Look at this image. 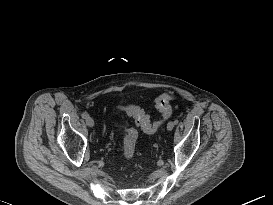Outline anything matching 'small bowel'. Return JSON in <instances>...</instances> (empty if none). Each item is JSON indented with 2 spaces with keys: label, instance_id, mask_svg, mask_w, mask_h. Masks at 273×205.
<instances>
[{
  "label": "small bowel",
  "instance_id": "1",
  "mask_svg": "<svg viewBox=\"0 0 273 205\" xmlns=\"http://www.w3.org/2000/svg\"><path fill=\"white\" fill-rule=\"evenodd\" d=\"M122 109H124L125 111H127L129 113V108L130 107H121Z\"/></svg>",
  "mask_w": 273,
  "mask_h": 205
}]
</instances>
